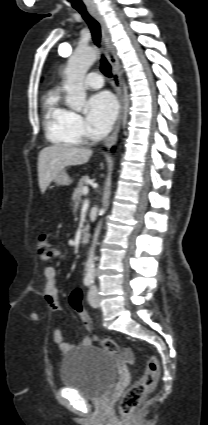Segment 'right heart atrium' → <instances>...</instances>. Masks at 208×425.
Instances as JSON below:
<instances>
[{
	"label": "right heart atrium",
	"instance_id": "obj_1",
	"mask_svg": "<svg viewBox=\"0 0 208 425\" xmlns=\"http://www.w3.org/2000/svg\"><path fill=\"white\" fill-rule=\"evenodd\" d=\"M71 128L79 139L86 137V128L82 117L76 113L71 114Z\"/></svg>",
	"mask_w": 208,
	"mask_h": 425
}]
</instances>
